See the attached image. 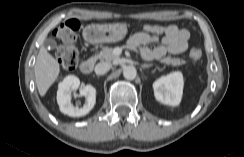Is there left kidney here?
<instances>
[{
	"mask_svg": "<svg viewBox=\"0 0 244 157\" xmlns=\"http://www.w3.org/2000/svg\"><path fill=\"white\" fill-rule=\"evenodd\" d=\"M183 75L181 72H173L163 76L153 83L154 96L159 102L177 106L180 104L183 94Z\"/></svg>",
	"mask_w": 244,
	"mask_h": 157,
	"instance_id": "5707ae66",
	"label": "left kidney"
}]
</instances>
